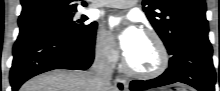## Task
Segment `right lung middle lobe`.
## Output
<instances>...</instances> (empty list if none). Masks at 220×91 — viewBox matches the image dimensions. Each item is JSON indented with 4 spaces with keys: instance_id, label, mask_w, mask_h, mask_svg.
<instances>
[{
    "instance_id": "1",
    "label": "right lung middle lobe",
    "mask_w": 220,
    "mask_h": 91,
    "mask_svg": "<svg viewBox=\"0 0 220 91\" xmlns=\"http://www.w3.org/2000/svg\"><path fill=\"white\" fill-rule=\"evenodd\" d=\"M76 10L51 14L37 20L19 25L23 27H43L67 36L76 41L88 40L95 36L97 23L88 22L84 15L75 16Z\"/></svg>"
}]
</instances>
